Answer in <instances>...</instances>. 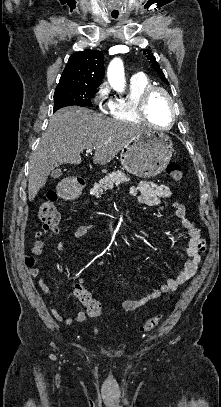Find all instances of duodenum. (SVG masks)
<instances>
[{
    "label": "duodenum",
    "instance_id": "obj_1",
    "mask_svg": "<svg viewBox=\"0 0 221 407\" xmlns=\"http://www.w3.org/2000/svg\"><path fill=\"white\" fill-rule=\"evenodd\" d=\"M82 187H84V183L71 185V186H66V187H63V188L60 189V193H61L63 198L69 199V198H71V196L73 194V191L76 188H82Z\"/></svg>",
    "mask_w": 221,
    "mask_h": 407
}]
</instances>
